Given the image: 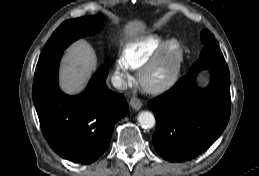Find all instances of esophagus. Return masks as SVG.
I'll return each instance as SVG.
<instances>
[{
	"label": "esophagus",
	"instance_id": "obj_1",
	"mask_svg": "<svg viewBox=\"0 0 259 176\" xmlns=\"http://www.w3.org/2000/svg\"><path fill=\"white\" fill-rule=\"evenodd\" d=\"M130 105L134 110H139L142 107V103L139 98L132 97L130 100Z\"/></svg>",
	"mask_w": 259,
	"mask_h": 176
}]
</instances>
